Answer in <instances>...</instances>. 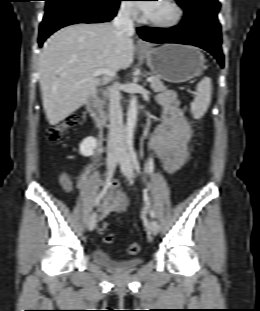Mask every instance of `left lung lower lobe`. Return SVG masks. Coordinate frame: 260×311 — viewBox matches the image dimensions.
Instances as JSON below:
<instances>
[{
  "instance_id": "left-lung-lower-lobe-1",
  "label": "left lung lower lobe",
  "mask_w": 260,
  "mask_h": 311,
  "mask_svg": "<svg viewBox=\"0 0 260 311\" xmlns=\"http://www.w3.org/2000/svg\"><path fill=\"white\" fill-rule=\"evenodd\" d=\"M141 38L152 43H180L194 45L210 52L224 67V56L221 50V29L206 21L183 20L174 28L137 29Z\"/></svg>"
}]
</instances>
